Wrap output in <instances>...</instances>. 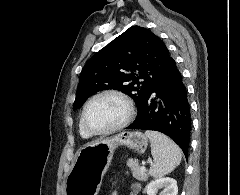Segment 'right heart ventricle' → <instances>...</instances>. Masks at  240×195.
Segmentation results:
<instances>
[{"mask_svg":"<svg viewBox=\"0 0 240 195\" xmlns=\"http://www.w3.org/2000/svg\"><path fill=\"white\" fill-rule=\"evenodd\" d=\"M81 134H82V136L83 137H85V138H88L89 137V135L86 133V132H84V130L81 128Z\"/></svg>","mask_w":240,"mask_h":195,"instance_id":"e07e8e85","label":"right heart ventricle"}]
</instances>
